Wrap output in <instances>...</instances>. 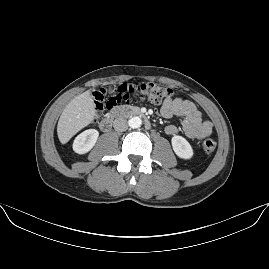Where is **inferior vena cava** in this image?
Instances as JSON below:
<instances>
[{
  "label": "inferior vena cava",
  "instance_id": "obj_1",
  "mask_svg": "<svg viewBox=\"0 0 269 269\" xmlns=\"http://www.w3.org/2000/svg\"><path fill=\"white\" fill-rule=\"evenodd\" d=\"M113 128L118 132H123L128 129V122L123 117H117L113 121Z\"/></svg>",
  "mask_w": 269,
  "mask_h": 269
}]
</instances>
